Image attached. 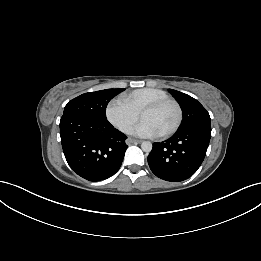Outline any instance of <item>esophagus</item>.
Returning <instances> with one entry per match:
<instances>
[{
  "label": "esophagus",
  "instance_id": "34e87169",
  "mask_svg": "<svg viewBox=\"0 0 261 261\" xmlns=\"http://www.w3.org/2000/svg\"><path fill=\"white\" fill-rule=\"evenodd\" d=\"M142 141L141 140H137V139H133V138H128L127 140H126V143L127 144H139V143H141Z\"/></svg>",
  "mask_w": 261,
  "mask_h": 261
}]
</instances>
